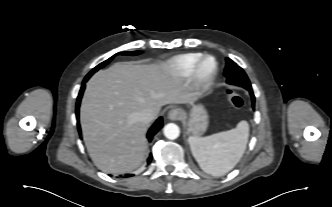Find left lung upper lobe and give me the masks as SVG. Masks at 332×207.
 <instances>
[{
	"instance_id": "left-lung-upper-lobe-1",
	"label": "left lung upper lobe",
	"mask_w": 332,
	"mask_h": 207,
	"mask_svg": "<svg viewBox=\"0 0 332 207\" xmlns=\"http://www.w3.org/2000/svg\"><path fill=\"white\" fill-rule=\"evenodd\" d=\"M224 75L228 84L238 85L245 89L251 88V83L244 70L229 58H226Z\"/></svg>"
}]
</instances>
